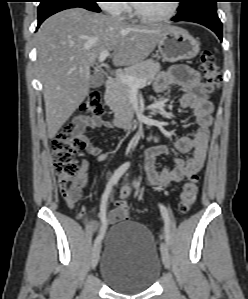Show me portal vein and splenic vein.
Here are the masks:
<instances>
[{
    "label": "portal vein and splenic vein",
    "mask_w": 248,
    "mask_h": 299,
    "mask_svg": "<svg viewBox=\"0 0 248 299\" xmlns=\"http://www.w3.org/2000/svg\"><path fill=\"white\" fill-rule=\"evenodd\" d=\"M109 54L110 53L108 50L102 51L98 57L99 62L102 63L109 56ZM116 77L128 85L131 89L144 87L147 83L146 79H137L136 77L130 75L117 74Z\"/></svg>",
    "instance_id": "1"
}]
</instances>
